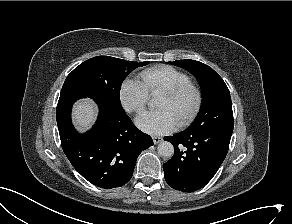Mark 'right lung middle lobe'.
Segmentation results:
<instances>
[{"label":"right lung middle lobe","instance_id":"dd1d6c3e","mask_svg":"<svg viewBox=\"0 0 292 224\" xmlns=\"http://www.w3.org/2000/svg\"><path fill=\"white\" fill-rule=\"evenodd\" d=\"M148 62H133L109 56H97L80 64L66 78L60 95L80 94L123 109L120 87L126 76Z\"/></svg>","mask_w":292,"mask_h":224}]
</instances>
